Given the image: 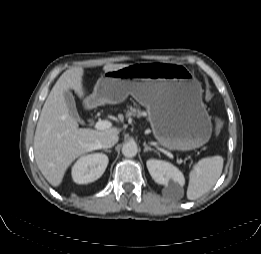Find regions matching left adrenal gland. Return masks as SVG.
<instances>
[{"label": "left adrenal gland", "instance_id": "1", "mask_svg": "<svg viewBox=\"0 0 261 254\" xmlns=\"http://www.w3.org/2000/svg\"><path fill=\"white\" fill-rule=\"evenodd\" d=\"M143 145H144V152H147V151H154V152H156L154 149L150 148V147L146 144V142H144Z\"/></svg>", "mask_w": 261, "mask_h": 254}]
</instances>
